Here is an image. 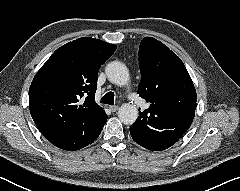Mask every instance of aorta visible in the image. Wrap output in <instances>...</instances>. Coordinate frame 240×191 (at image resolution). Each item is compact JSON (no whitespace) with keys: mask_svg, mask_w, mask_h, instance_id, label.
<instances>
[{"mask_svg":"<svg viewBox=\"0 0 240 191\" xmlns=\"http://www.w3.org/2000/svg\"><path fill=\"white\" fill-rule=\"evenodd\" d=\"M105 73L108 80L115 85L125 86L129 82V71L127 67L119 61L108 63L105 68ZM118 117L123 124L132 125L138 118V110L132 104H122L118 111Z\"/></svg>","mask_w":240,"mask_h":191,"instance_id":"1","label":"aorta"}]
</instances>
